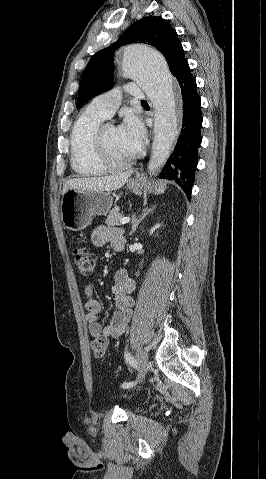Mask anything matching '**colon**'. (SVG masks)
<instances>
[{"mask_svg": "<svg viewBox=\"0 0 266 479\" xmlns=\"http://www.w3.org/2000/svg\"><path fill=\"white\" fill-rule=\"evenodd\" d=\"M72 260L74 266L81 276L88 277L92 274L96 264V257L92 252H89L83 247L75 246L72 249ZM91 348L96 357H103L107 349V338H96L92 342Z\"/></svg>", "mask_w": 266, "mask_h": 479, "instance_id": "5ec220e1", "label": "colon"}]
</instances>
